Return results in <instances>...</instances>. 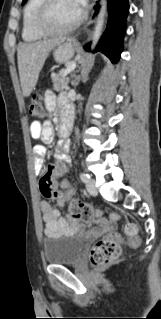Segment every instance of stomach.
<instances>
[{
    "label": "stomach",
    "instance_id": "0dacf381",
    "mask_svg": "<svg viewBox=\"0 0 161 319\" xmlns=\"http://www.w3.org/2000/svg\"><path fill=\"white\" fill-rule=\"evenodd\" d=\"M73 55L74 46L71 42L63 43L54 50V58L58 63L67 62Z\"/></svg>",
    "mask_w": 161,
    "mask_h": 319
}]
</instances>
